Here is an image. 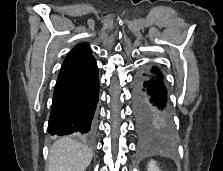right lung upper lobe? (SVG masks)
Returning a JSON list of instances; mask_svg holds the SVG:
<instances>
[{
  "instance_id": "obj_1",
  "label": "right lung upper lobe",
  "mask_w": 223,
  "mask_h": 171,
  "mask_svg": "<svg viewBox=\"0 0 223 171\" xmlns=\"http://www.w3.org/2000/svg\"><path fill=\"white\" fill-rule=\"evenodd\" d=\"M91 54V48L87 43L78 44L66 56L60 73L93 59L94 57Z\"/></svg>"
}]
</instances>
